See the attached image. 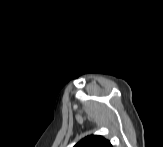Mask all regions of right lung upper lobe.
<instances>
[{
  "mask_svg": "<svg viewBox=\"0 0 163 147\" xmlns=\"http://www.w3.org/2000/svg\"><path fill=\"white\" fill-rule=\"evenodd\" d=\"M75 147H112V145L102 136L91 135L82 139Z\"/></svg>",
  "mask_w": 163,
  "mask_h": 147,
  "instance_id": "cb5924a9",
  "label": "right lung upper lobe"
}]
</instances>
